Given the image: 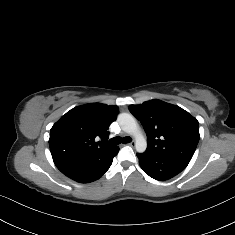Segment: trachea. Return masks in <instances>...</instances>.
I'll return each instance as SVG.
<instances>
[{
    "mask_svg": "<svg viewBox=\"0 0 235 235\" xmlns=\"http://www.w3.org/2000/svg\"><path fill=\"white\" fill-rule=\"evenodd\" d=\"M132 139L130 137H114L110 139L109 141H105L106 144H111V145H118L120 143H130Z\"/></svg>",
    "mask_w": 235,
    "mask_h": 235,
    "instance_id": "obj_1",
    "label": "trachea"
}]
</instances>
